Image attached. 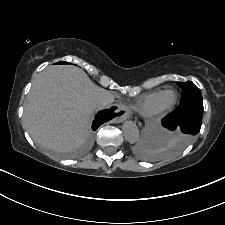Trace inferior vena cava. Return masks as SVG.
<instances>
[{
	"label": "inferior vena cava",
	"instance_id": "1",
	"mask_svg": "<svg viewBox=\"0 0 225 225\" xmlns=\"http://www.w3.org/2000/svg\"><path fill=\"white\" fill-rule=\"evenodd\" d=\"M114 99L113 98H103L98 100L97 102V108L102 109L110 106L111 103H113Z\"/></svg>",
	"mask_w": 225,
	"mask_h": 225
}]
</instances>
